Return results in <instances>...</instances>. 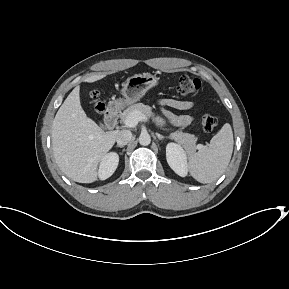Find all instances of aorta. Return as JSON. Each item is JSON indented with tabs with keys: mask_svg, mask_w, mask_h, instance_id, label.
Wrapping results in <instances>:
<instances>
[{
	"mask_svg": "<svg viewBox=\"0 0 289 289\" xmlns=\"http://www.w3.org/2000/svg\"><path fill=\"white\" fill-rule=\"evenodd\" d=\"M139 143L142 146H147L151 143V137L147 133H143L139 136Z\"/></svg>",
	"mask_w": 289,
	"mask_h": 289,
	"instance_id": "aorta-1",
	"label": "aorta"
}]
</instances>
